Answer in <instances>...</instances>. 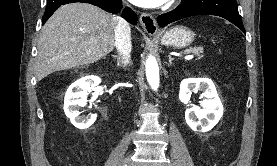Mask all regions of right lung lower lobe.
Listing matches in <instances>:
<instances>
[{
    "instance_id": "1",
    "label": "right lung lower lobe",
    "mask_w": 277,
    "mask_h": 166,
    "mask_svg": "<svg viewBox=\"0 0 277 166\" xmlns=\"http://www.w3.org/2000/svg\"><path fill=\"white\" fill-rule=\"evenodd\" d=\"M73 2L90 3L114 14H117L122 7L121 0H48L42 24L48 20V18L58 9V7ZM122 17L131 24L136 25L137 23V16L130 8H125L123 10Z\"/></svg>"
}]
</instances>
